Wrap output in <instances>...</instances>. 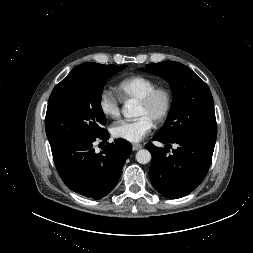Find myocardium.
I'll return each instance as SVG.
<instances>
[{"label": "myocardium", "instance_id": "1", "mask_svg": "<svg viewBox=\"0 0 253 253\" xmlns=\"http://www.w3.org/2000/svg\"><path fill=\"white\" fill-rule=\"evenodd\" d=\"M160 96L164 98V105L162 110L154 118V122L157 124L163 123L171 113L174 102L172 90L167 86L159 85L138 100L144 106H151Z\"/></svg>", "mask_w": 253, "mask_h": 253}]
</instances>
